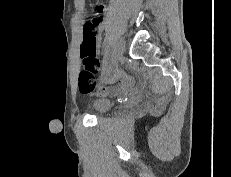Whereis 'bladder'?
<instances>
[{
	"label": "bladder",
	"mask_w": 231,
	"mask_h": 177,
	"mask_svg": "<svg viewBox=\"0 0 231 177\" xmlns=\"http://www.w3.org/2000/svg\"><path fill=\"white\" fill-rule=\"evenodd\" d=\"M112 106V101L108 98L100 97L93 101V108L97 115L106 113Z\"/></svg>",
	"instance_id": "obj_1"
}]
</instances>
